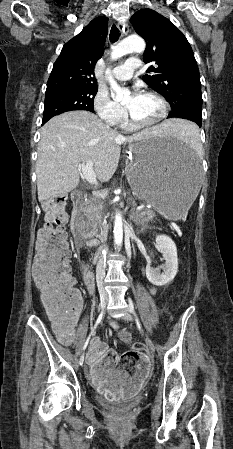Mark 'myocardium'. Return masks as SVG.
<instances>
[{"instance_id": "obj_1", "label": "myocardium", "mask_w": 233, "mask_h": 449, "mask_svg": "<svg viewBox=\"0 0 233 449\" xmlns=\"http://www.w3.org/2000/svg\"><path fill=\"white\" fill-rule=\"evenodd\" d=\"M143 94L151 96L159 102V104L161 106V113L156 119H154L152 121L140 122L132 115L130 110L127 108V116H128L129 122L131 123V125L133 127H136V128H150V127L156 126L166 118L167 113H168V103L160 94H158L157 92H154V91H150V90L144 91Z\"/></svg>"}]
</instances>
